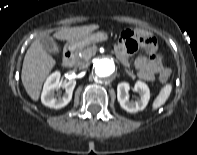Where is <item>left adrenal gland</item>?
<instances>
[{
    "mask_svg": "<svg viewBox=\"0 0 197 155\" xmlns=\"http://www.w3.org/2000/svg\"><path fill=\"white\" fill-rule=\"evenodd\" d=\"M125 71L130 75V72L128 70L125 69Z\"/></svg>",
    "mask_w": 197,
    "mask_h": 155,
    "instance_id": "left-adrenal-gland-1",
    "label": "left adrenal gland"
}]
</instances>
